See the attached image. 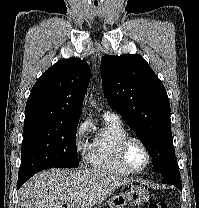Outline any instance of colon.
I'll return each instance as SVG.
<instances>
[{
    "mask_svg": "<svg viewBox=\"0 0 199 208\" xmlns=\"http://www.w3.org/2000/svg\"><path fill=\"white\" fill-rule=\"evenodd\" d=\"M147 208H168L163 202H151Z\"/></svg>",
    "mask_w": 199,
    "mask_h": 208,
    "instance_id": "5ec220e1",
    "label": "colon"
}]
</instances>
